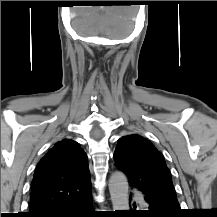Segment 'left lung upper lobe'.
<instances>
[{
	"mask_svg": "<svg viewBox=\"0 0 217 217\" xmlns=\"http://www.w3.org/2000/svg\"><path fill=\"white\" fill-rule=\"evenodd\" d=\"M115 165L123 171L129 184L146 198L164 203L168 209L179 211L171 173L163 155L147 139L127 135L118 140L114 153Z\"/></svg>",
	"mask_w": 217,
	"mask_h": 217,
	"instance_id": "left-lung-upper-lobe-1",
	"label": "left lung upper lobe"
}]
</instances>
